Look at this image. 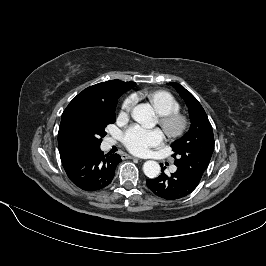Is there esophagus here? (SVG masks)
<instances>
[{
    "instance_id": "esophagus-1",
    "label": "esophagus",
    "mask_w": 266,
    "mask_h": 266,
    "mask_svg": "<svg viewBox=\"0 0 266 266\" xmlns=\"http://www.w3.org/2000/svg\"><path fill=\"white\" fill-rule=\"evenodd\" d=\"M126 158H128V159H136V160H140L139 158L134 157V156H132V155H127Z\"/></svg>"
}]
</instances>
